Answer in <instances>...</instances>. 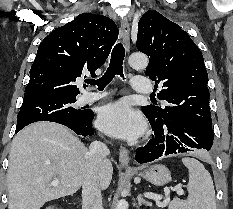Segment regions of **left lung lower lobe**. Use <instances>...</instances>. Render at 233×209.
Segmentation results:
<instances>
[{"label": "left lung lower lobe", "mask_w": 233, "mask_h": 209, "mask_svg": "<svg viewBox=\"0 0 233 209\" xmlns=\"http://www.w3.org/2000/svg\"><path fill=\"white\" fill-rule=\"evenodd\" d=\"M154 130L152 139L145 147L137 150L135 160L139 163L151 162L173 153H185L191 148L206 149L213 145L212 128L200 125L186 118L164 121L149 119Z\"/></svg>", "instance_id": "obj_1"}]
</instances>
